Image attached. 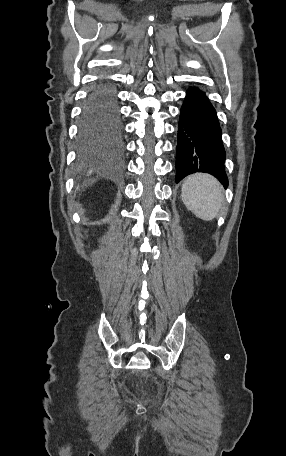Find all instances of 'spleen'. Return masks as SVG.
<instances>
[{
	"label": "spleen",
	"mask_w": 286,
	"mask_h": 456,
	"mask_svg": "<svg viewBox=\"0 0 286 456\" xmlns=\"http://www.w3.org/2000/svg\"><path fill=\"white\" fill-rule=\"evenodd\" d=\"M181 197L187 209L204 221L216 218L225 203L221 184L206 173L188 176L183 182Z\"/></svg>",
	"instance_id": "obj_1"
}]
</instances>
